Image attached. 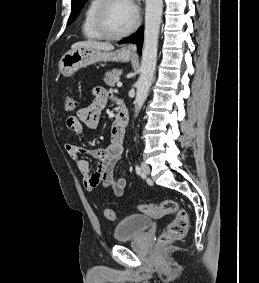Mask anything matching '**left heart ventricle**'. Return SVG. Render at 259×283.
I'll list each match as a JSON object with an SVG mask.
<instances>
[{
    "instance_id": "left-heart-ventricle-1",
    "label": "left heart ventricle",
    "mask_w": 259,
    "mask_h": 283,
    "mask_svg": "<svg viewBox=\"0 0 259 283\" xmlns=\"http://www.w3.org/2000/svg\"><path fill=\"white\" fill-rule=\"evenodd\" d=\"M134 20V10L126 0H114L108 7L105 22L112 33H120L130 27Z\"/></svg>"
}]
</instances>
